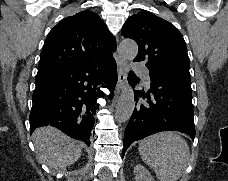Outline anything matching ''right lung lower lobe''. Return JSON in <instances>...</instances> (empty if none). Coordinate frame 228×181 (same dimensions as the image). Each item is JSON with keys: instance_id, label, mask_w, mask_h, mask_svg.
Masks as SVG:
<instances>
[{"instance_id": "obj_1", "label": "right lung lower lobe", "mask_w": 228, "mask_h": 181, "mask_svg": "<svg viewBox=\"0 0 228 181\" xmlns=\"http://www.w3.org/2000/svg\"><path fill=\"white\" fill-rule=\"evenodd\" d=\"M117 83V67L112 55L37 74L30 113L31 133L51 125L74 139L90 144L97 99L101 87L110 97Z\"/></svg>"}]
</instances>
